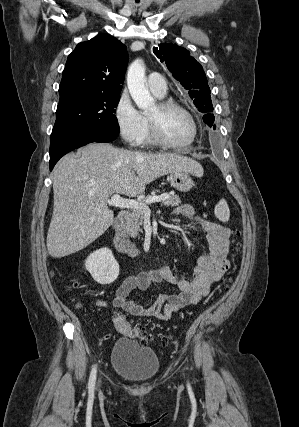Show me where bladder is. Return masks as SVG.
<instances>
[{
    "label": "bladder",
    "mask_w": 299,
    "mask_h": 427,
    "mask_svg": "<svg viewBox=\"0 0 299 427\" xmlns=\"http://www.w3.org/2000/svg\"><path fill=\"white\" fill-rule=\"evenodd\" d=\"M111 358L115 373L135 383L151 380L159 370L157 354L133 339H119L112 348Z\"/></svg>",
    "instance_id": "obj_1"
}]
</instances>
